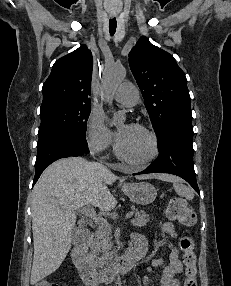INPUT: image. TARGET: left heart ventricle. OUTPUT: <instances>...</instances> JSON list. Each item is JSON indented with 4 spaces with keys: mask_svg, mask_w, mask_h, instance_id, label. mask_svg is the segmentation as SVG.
<instances>
[{
    "mask_svg": "<svg viewBox=\"0 0 231 286\" xmlns=\"http://www.w3.org/2000/svg\"><path fill=\"white\" fill-rule=\"evenodd\" d=\"M126 126H121L120 130ZM122 152L130 159L140 161L152 152V141L147 133L128 125L125 133L118 139Z\"/></svg>",
    "mask_w": 231,
    "mask_h": 286,
    "instance_id": "obj_1",
    "label": "left heart ventricle"
}]
</instances>
